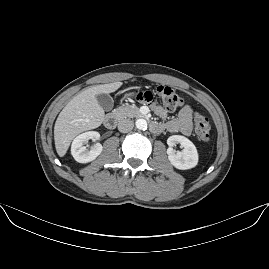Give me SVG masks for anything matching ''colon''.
<instances>
[{
	"label": "colon",
	"instance_id": "5ec220e1",
	"mask_svg": "<svg viewBox=\"0 0 269 269\" xmlns=\"http://www.w3.org/2000/svg\"><path fill=\"white\" fill-rule=\"evenodd\" d=\"M127 96L131 100H138L144 104L159 103L169 110L180 109L183 99L174 89L167 85H159L155 92L142 90L138 85H131L127 89ZM194 131L197 138L205 143L211 141L210 124L206 117L196 113L193 118Z\"/></svg>",
	"mask_w": 269,
	"mask_h": 269
}]
</instances>
